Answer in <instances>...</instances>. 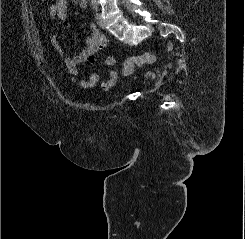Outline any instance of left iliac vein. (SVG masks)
Listing matches in <instances>:
<instances>
[{
    "instance_id": "1",
    "label": "left iliac vein",
    "mask_w": 245,
    "mask_h": 239,
    "mask_svg": "<svg viewBox=\"0 0 245 239\" xmlns=\"http://www.w3.org/2000/svg\"><path fill=\"white\" fill-rule=\"evenodd\" d=\"M96 20H97V23L98 25L101 27V28H104L105 27V22L102 18V15L100 12L96 13Z\"/></svg>"
}]
</instances>
